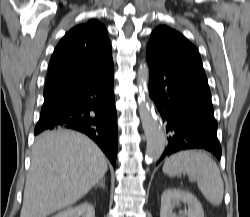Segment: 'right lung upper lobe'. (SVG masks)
<instances>
[{"instance_id": "right-lung-upper-lobe-1", "label": "right lung upper lobe", "mask_w": 250, "mask_h": 217, "mask_svg": "<svg viewBox=\"0 0 250 217\" xmlns=\"http://www.w3.org/2000/svg\"><path fill=\"white\" fill-rule=\"evenodd\" d=\"M112 65L106 28L97 20L77 25L54 50L44 95L86 82Z\"/></svg>"}]
</instances>
